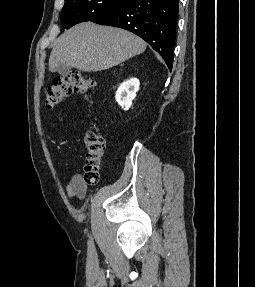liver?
<instances>
[{
	"label": "liver",
	"instance_id": "obj_1",
	"mask_svg": "<svg viewBox=\"0 0 255 287\" xmlns=\"http://www.w3.org/2000/svg\"><path fill=\"white\" fill-rule=\"evenodd\" d=\"M146 46V42L127 30L82 22L57 38L50 54L49 70L54 72L57 66H71L81 72L108 70L142 54Z\"/></svg>",
	"mask_w": 255,
	"mask_h": 287
}]
</instances>
